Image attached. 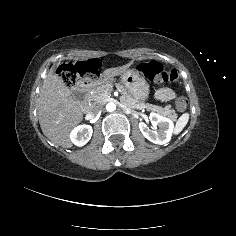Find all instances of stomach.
<instances>
[{
  "label": "stomach",
  "mask_w": 236,
  "mask_h": 236,
  "mask_svg": "<svg viewBox=\"0 0 236 236\" xmlns=\"http://www.w3.org/2000/svg\"><path fill=\"white\" fill-rule=\"evenodd\" d=\"M112 77H103L101 82H111ZM121 83L129 94L139 101H144L149 95V84L135 69H127L121 73Z\"/></svg>",
  "instance_id": "0dacf381"
}]
</instances>
